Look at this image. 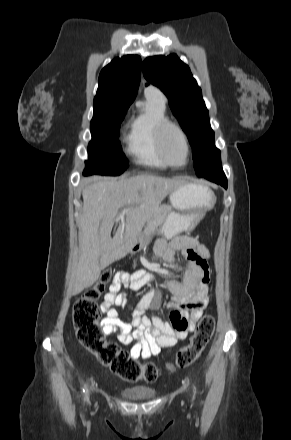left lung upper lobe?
<instances>
[{
  "instance_id": "obj_1",
  "label": "left lung upper lobe",
  "mask_w": 291,
  "mask_h": 440,
  "mask_svg": "<svg viewBox=\"0 0 291 440\" xmlns=\"http://www.w3.org/2000/svg\"><path fill=\"white\" fill-rule=\"evenodd\" d=\"M143 75L148 84L159 87L168 97L169 106L192 146L196 175L202 177L221 166L208 110L189 67L176 54L148 57L143 62Z\"/></svg>"
}]
</instances>
